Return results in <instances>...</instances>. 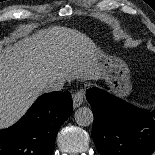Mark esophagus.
<instances>
[{"label": "esophagus", "mask_w": 155, "mask_h": 155, "mask_svg": "<svg viewBox=\"0 0 155 155\" xmlns=\"http://www.w3.org/2000/svg\"><path fill=\"white\" fill-rule=\"evenodd\" d=\"M83 99H84V91L79 90L78 92H76L73 95V108L75 109L81 106V104L83 103Z\"/></svg>", "instance_id": "1"}]
</instances>
